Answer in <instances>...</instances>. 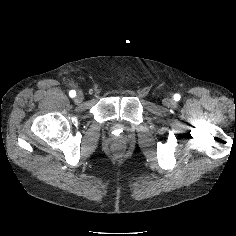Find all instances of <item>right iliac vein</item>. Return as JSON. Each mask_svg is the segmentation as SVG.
Masks as SVG:
<instances>
[{"label":"right iliac vein","mask_w":236,"mask_h":236,"mask_svg":"<svg viewBox=\"0 0 236 236\" xmlns=\"http://www.w3.org/2000/svg\"><path fill=\"white\" fill-rule=\"evenodd\" d=\"M84 99V95L82 92H78L76 97H75V102L76 103H81Z\"/></svg>","instance_id":"1"}]
</instances>
